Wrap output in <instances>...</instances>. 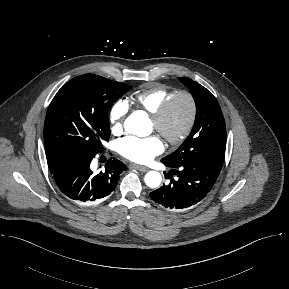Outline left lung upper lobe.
Listing matches in <instances>:
<instances>
[{
    "label": "left lung upper lobe",
    "instance_id": "5c2ea615",
    "mask_svg": "<svg viewBox=\"0 0 289 289\" xmlns=\"http://www.w3.org/2000/svg\"><path fill=\"white\" fill-rule=\"evenodd\" d=\"M180 81L190 88L197 107L194 127L189 137L162 161L173 167L182 164L210 163L222 166L226 149V126L213 94L187 77Z\"/></svg>",
    "mask_w": 289,
    "mask_h": 289
}]
</instances>
